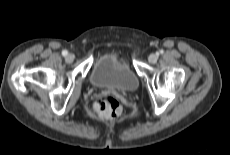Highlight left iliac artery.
<instances>
[{"instance_id": "44dca946", "label": "left iliac artery", "mask_w": 230, "mask_h": 155, "mask_svg": "<svg viewBox=\"0 0 230 155\" xmlns=\"http://www.w3.org/2000/svg\"><path fill=\"white\" fill-rule=\"evenodd\" d=\"M159 53L162 54V53H163V50H160Z\"/></svg>"}]
</instances>
